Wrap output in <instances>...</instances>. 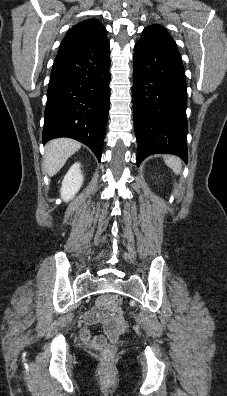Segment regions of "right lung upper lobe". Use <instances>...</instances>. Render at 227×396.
I'll use <instances>...</instances> for the list:
<instances>
[{"label": "right lung upper lobe", "instance_id": "cb5924a9", "mask_svg": "<svg viewBox=\"0 0 227 396\" xmlns=\"http://www.w3.org/2000/svg\"><path fill=\"white\" fill-rule=\"evenodd\" d=\"M106 41V29L101 22L96 19L85 20L69 29L62 40L59 53L79 51Z\"/></svg>", "mask_w": 227, "mask_h": 396}]
</instances>
